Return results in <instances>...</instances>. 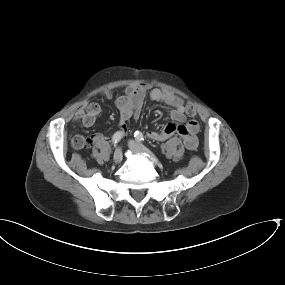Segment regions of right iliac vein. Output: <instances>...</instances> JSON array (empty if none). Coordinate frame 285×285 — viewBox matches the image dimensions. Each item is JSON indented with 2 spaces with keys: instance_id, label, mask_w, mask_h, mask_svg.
<instances>
[{
  "instance_id": "63e3f726",
  "label": "right iliac vein",
  "mask_w": 285,
  "mask_h": 285,
  "mask_svg": "<svg viewBox=\"0 0 285 285\" xmlns=\"http://www.w3.org/2000/svg\"><path fill=\"white\" fill-rule=\"evenodd\" d=\"M123 159L122 150L120 148L116 149L114 152L113 160L115 163H120Z\"/></svg>"
}]
</instances>
